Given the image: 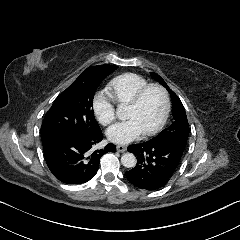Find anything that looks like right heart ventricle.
<instances>
[{"mask_svg":"<svg viewBox=\"0 0 240 240\" xmlns=\"http://www.w3.org/2000/svg\"><path fill=\"white\" fill-rule=\"evenodd\" d=\"M149 84L148 80L135 73H124L108 82L105 91L109 99L119 107L131 102L136 92Z\"/></svg>","mask_w":240,"mask_h":240,"instance_id":"right-heart-ventricle-1","label":"right heart ventricle"}]
</instances>
